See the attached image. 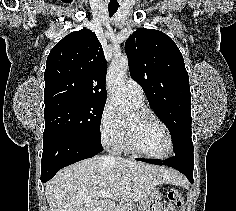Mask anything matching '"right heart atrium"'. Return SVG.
I'll use <instances>...</instances> for the list:
<instances>
[{"mask_svg": "<svg viewBox=\"0 0 236 211\" xmlns=\"http://www.w3.org/2000/svg\"><path fill=\"white\" fill-rule=\"evenodd\" d=\"M99 133L102 143L110 148H116L124 133V125L116 115L110 102L102 108L99 119Z\"/></svg>", "mask_w": 236, "mask_h": 211, "instance_id": "right-heart-atrium-1", "label": "right heart atrium"}]
</instances>
